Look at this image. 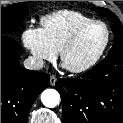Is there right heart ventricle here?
<instances>
[{"label":"right heart ventricle","instance_id":"right-heart-ventricle-1","mask_svg":"<svg viewBox=\"0 0 123 123\" xmlns=\"http://www.w3.org/2000/svg\"><path fill=\"white\" fill-rule=\"evenodd\" d=\"M91 21H93L92 18L80 12L60 10L42 17L41 29L51 48L55 52H60L72 34Z\"/></svg>","mask_w":123,"mask_h":123}]
</instances>
